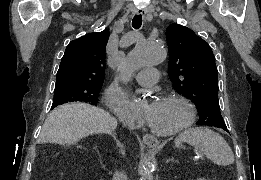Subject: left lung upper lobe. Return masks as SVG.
<instances>
[{"label": "left lung upper lobe", "mask_w": 261, "mask_h": 180, "mask_svg": "<svg viewBox=\"0 0 261 180\" xmlns=\"http://www.w3.org/2000/svg\"><path fill=\"white\" fill-rule=\"evenodd\" d=\"M168 74L174 89L196 105L198 125L226 128L220 113L215 58L210 46L191 29L171 24L166 30Z\"/></svg>", "instance_id": "1"}]
</instances>
